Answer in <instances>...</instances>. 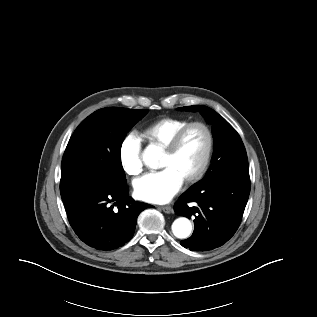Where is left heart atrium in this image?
Masks as SVG:
<instances>
[{
  "mask_svg": "<svg viewBox=\"0 0 317 317\" xmlns=\"http://www.w3.org/2000/svg\"><path fill=\"white\" fill-rule=\"evenodd\" d=\"M183 179L170 168L155 173H149L137 179L134 183L136 196L146 202L166 203L180 190Z\"/></svg>",
  "mask_w": 317,
  "mask_h": 317,
  "instance_id": "obj_1",
  "label": "left heart atrium"
}]
</instances>
